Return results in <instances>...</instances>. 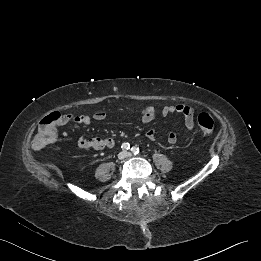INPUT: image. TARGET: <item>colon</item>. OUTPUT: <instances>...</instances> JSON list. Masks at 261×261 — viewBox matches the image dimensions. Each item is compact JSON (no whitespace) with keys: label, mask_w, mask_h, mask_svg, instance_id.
<instances>
[{"label":"colon","mask_w":261,"mask_h":261,"mask_svg":"<svg viewBox=\"0 0 261 261\" xmlns=\"http://www.w3.org/2000/svg\"><path fill=\"white\" fill-rule=\"evenodd\" d=\"M67 116L60 112H52L39 122L37 132L33 139V147L42 149L57 138V126L65 123ZM197 125L203 134H211L215 127V120L207 113L199 114Z\"/></svg>","instance_id":"colon-1"}]
</instances>
